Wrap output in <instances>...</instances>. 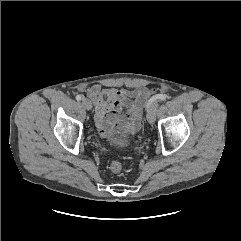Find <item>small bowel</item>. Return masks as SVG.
<instances>
[{
	"label": "small bowel",
	"instance_id": "1",
	"mask_svg": "<svg viewBox=\"0 0 241 241\" xmlns=\"http://www.w3.org/2000/svg\"><path fill=\"white\" fill-rule=\"evenodd\" d=\"M87 95L95 108V125L102 137H132L139 129L142 109L153 97L146 87L105 88L95 84Z\"/></svg>",
	"mask_w": 241,
	"mask_h": 241
}]
</instances>
